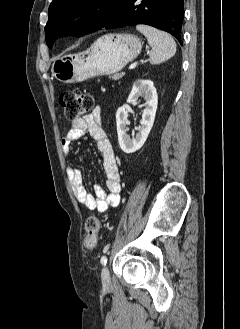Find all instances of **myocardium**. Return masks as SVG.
Listing matches in <instances>:
<instances>
[{
	"label": "myocardium",
	"mask_w": 240,
	"mask_h": 329,
	"mask_svg": "<svg viewBox=\"0 0 240 329\" xmlns=\"http://www.w3.org/2000/svg\"><path fill=\"white\" fill-rule=\"evenodd\" d=\"M89 20H90V17L88 14H83L80 16V21H82V22H87Z\"/></svg>",
	"instance_id": "myocardium-1"
}]
</instances>
